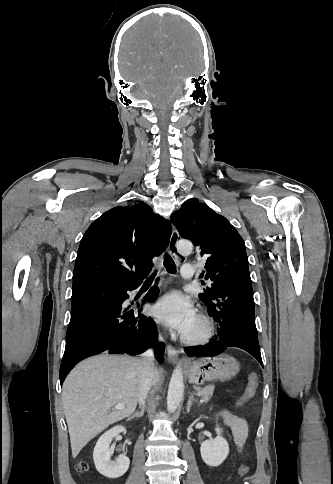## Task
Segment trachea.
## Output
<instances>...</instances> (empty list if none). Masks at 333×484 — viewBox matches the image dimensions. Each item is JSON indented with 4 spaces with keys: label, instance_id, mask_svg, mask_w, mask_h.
Wrapping results in <instances>:
<instances>
[{
    "label": "trachea",
    "instance_id": "obj_1",
    "mask_svg": "<svg viewBox=\"0 0 333 484\" xmlns=\"http://www.w3.org/2000/svg\"><path fill=\"white\" fill-rule=\"evenodd\" d=\"M163 264H164L166 270L169 273H171V274H175L176 273V265H175V262H174V260L172 259V257L168 253H165V255H164ZM156 274H157V271H154V273L148 278V280H153L154 277L156 276Z\"/></svg>",
    "mask_w": 333,
    "mask_h": 484
}]
</instances>
